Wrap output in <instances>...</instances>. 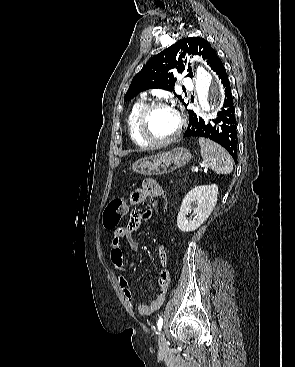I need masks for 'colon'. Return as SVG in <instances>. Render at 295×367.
Returning <instances> with one entry per match:
<instances>
[{
  "instance_id": "5ec220e1",
  "label": "colon",
  "mask_w": 295,
  "mask_h": 367,
  "mask_svg": "<svg viewBox=\"0 0 295 367\" xmlns=\"http://www.w3.org/2000/svg\"><path fill=\"white\" fill-rule=\"evenodd\" d=\"M160 200L161 211L168 212L169 211V201L171 197L169 195H164ZM128 210V204L125 198L123 197H115L113 198L109 204L107 205L104 214H103V223L104 226L108 229L116 228L121 220V218L126 214ZM152 212L155 210L153 207L150 209Z\"/></svg>"
}]
</instances>
